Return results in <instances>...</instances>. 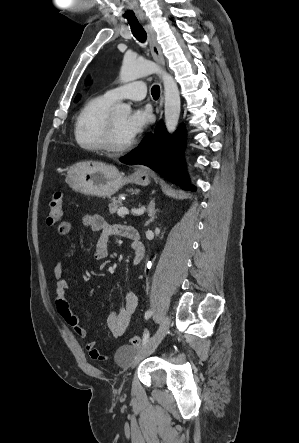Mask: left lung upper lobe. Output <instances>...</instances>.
Here are the masks:
<instances>
[{
	"label": "left lung upper lobe",
	"mask_w": 299,
	"mask_h": 443,
	"mask_svg": "<svg viewBox=\"0 0 299 443\" xmlns=\"http://www.w3.org/2000/svg\"><path fill=\"white\" fill-rule=\"evenodd\" d=\"M78 99H79V95H77V97L75 98V101H78Z\"/></svg>",
	"instance_id": "5c2ea615"
}]
</instances>
